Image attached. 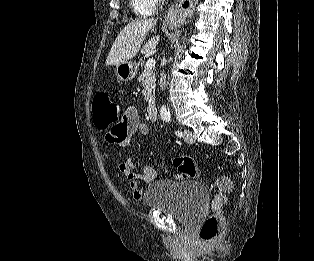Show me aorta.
I'll use <instances>...</instances> for the list:
<instances>
[{
    "label": "aorta",
    "mask_w": 314,
    "mask_h": 261,
    "mask_svg": "<svg viewBox=\"0 0 314 261\" xmlns=\"http://www.w3.org/2000/svg\"><path fill=\"white\" fill-rule=\"evenodd\" d=\"M160 115H161L163 118H167V117L170 116V112H169V110L166 108V106H161Z\"/></svg>",
    "instance_id": "1"
}]
</instances>
